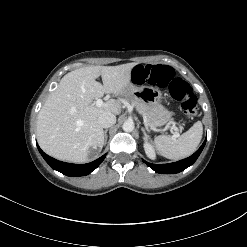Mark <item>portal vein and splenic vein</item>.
I'll list each match as a JSON object with an SVG mask.
<instances>
[{"label": "portal vein and splenic vein", "mask_w": 247, "mask_h": 247, "mask_svg": "<svg viewBox=\"0 0 247 247\" xmlns=\"http://www.w3.org/2000/svg\"><path fill=\"white\" fill-rule=\"evenodd\" d=\"M95 105H96L97 107H103V106H105V105H107V104L104 103V102L102 101V99H97L96 102H95ZM145 124H147V123L145 122ZM147 125H149V124H147ZM149 126H150V125H149ZM150 127H151L152 129L156 130L154 127H152V126H150ZM172 128H173L174 130H176L175 134L173 135V138L179 137V133L177 132V128H176L175 126H172Z\"/></svg>", "instance_id": "obj_1"}]
</instances>
